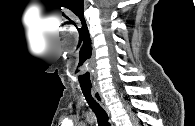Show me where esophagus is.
Wrapping results in <instances>:
<instances>
[{
  "label": "esophagus",
  "mask_w": 195,
  "mask_h": 126,
  "mask_svg": "<svg viewBox=\"0 0 195 126\" xmlns=\"http://www.w3.org/2000/svg\"><path fill=\"white\" fill-rule=\"evenodd\" d=\"M92 95L94 99L104 108V110L109 114L108 107L105 103V100L100 92V89L98 87L92 88Z\"/></svg>",
  "instance_id": "34e87169"
}]
</instances>
